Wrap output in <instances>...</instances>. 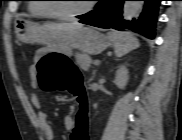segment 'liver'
Masks as SVG:
<instances>
[{"label": "liver", "mask_w": 182, "mask_h": 140, "mask_svg": "<svg viewBox=\"0 0 182 140\" xmlns=\"http://www.w3.org/2000/svg\"><path fill=\"white\" fill-rule=\"evenodd\" d=\"M83 27L81 23L77 21L71 23H50L44 25L42 28L46 31H72Z\"/></svg>", "instance_id": "liver-1"}]
</instances>
